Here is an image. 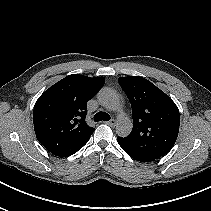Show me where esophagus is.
<instances>
[{
  "label": "esophagus",
  "instance_id": "obj_1",
  "mask_svg": "<svg viewBox=\"0 0 211 211\" xmlns=\"http://www.w3.org/2000/svg\"><path fill=\"white\" fill-rule=\"evenodd\" d=\"M106 124H108L111 127H114L116 125V120L115 119H112V120L106 122Z\"/></svg>",
  "mask_w": 211,
  "mask_h": 211
}]
</instances>
